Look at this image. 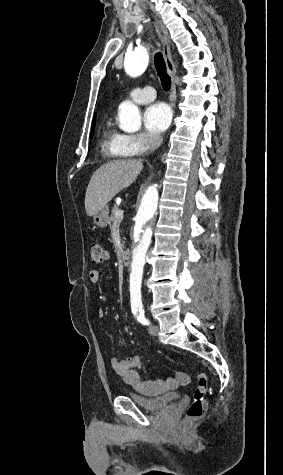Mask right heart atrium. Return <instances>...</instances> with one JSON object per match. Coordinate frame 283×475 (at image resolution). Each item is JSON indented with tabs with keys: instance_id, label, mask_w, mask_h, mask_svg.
Wrapping results in <instances>:
<instances>
[{
	"instance_id": "obj_1",
	"label": "right heart atrium",
	"mask_w": 283,
	"mask_h": 475,
	"mask_svg": "<svg viewBox=\"0 0 283 475\" xmlns=\"http://www.w3.org/2000/svg\"><path fill=\"white\" fill-rule=\"evenodd\" d=\"M159 138L147 133L121 135L117 141V149L121 156L147 155L159 146Z\"/></svg>"
}]
</instances>
